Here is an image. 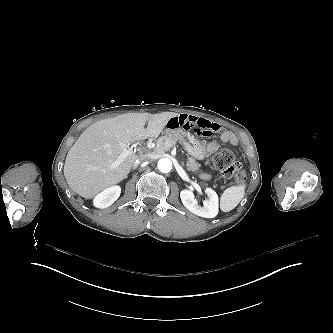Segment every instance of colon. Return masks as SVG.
<instances>
[{
    "label": "colon",
    "mask_w": 333,
    "mask_h": 333,
    "mask_svg": "<svg viewBox=\"0 0 333 333\" xmlns=\"http://www.w3.org/2000/svg\"><path fill=\"white\" fill-rule=\"evenodd\" d=\"M212 165L216 169L217 175L223 181L234 180L237 183L243 182V165L235 160V154L231 149L225 148L216 151L212 157Z\"/></svg>",
    "instance_id": "colon-1"
}]
</instances>
